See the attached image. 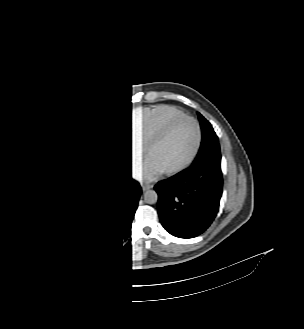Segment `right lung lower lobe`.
I'll use <instances>...</instances> for the list:
<instances>
[{"mask_svg": "<svg viewBox=\"0 0 304 329\" xmlns=\"http://www.w3.org/2000/svg\"><path fill=\"white\" fill-rule=\"evenodd\" d=\"M60 186L70 219L95 245L111 247L128 234L141 196L129 171L118 165L74 172L61 178Z\"/></svg>", "mask_w": 304, "mask_h": 329, "instance_id": "98d812e1", "label": "right lung lower lobe"}]
</instances>
